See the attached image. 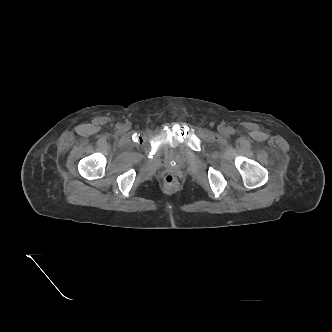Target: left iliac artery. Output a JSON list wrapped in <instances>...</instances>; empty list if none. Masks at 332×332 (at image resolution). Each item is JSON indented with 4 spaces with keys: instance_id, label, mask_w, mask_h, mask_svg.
<instances>
[{
    "instance_id": "obj_1",
    "label": "left iliac artery",
    "mask_w": 332,
    "mask_h": 332,
    "mask_svg": "<svg viewBox=\"0 0 332 332\" xmlns=\"http://www.w3.org/2000/svg\"><path fill=\"white\" fill-rule=\"evenodd\" d=\"M229 133H230V134H233V133H234V129H233V128H230V129H229Z\"/></svg>"
}]
</instances>
